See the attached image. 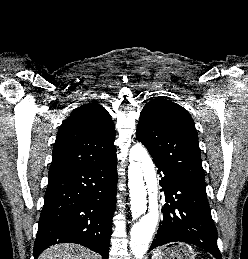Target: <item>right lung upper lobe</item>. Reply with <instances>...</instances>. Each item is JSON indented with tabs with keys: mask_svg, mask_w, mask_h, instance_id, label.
Wrapping results in <instances>:
<instances>
[{
	"mask_svg": "<svg viewBox=\"0 0 248 259\" xmlns=\"http://www.w3.org/2000/svg\"><path fill=\"white\" fill-rule=\"evenodd\" d=\"M114 140V123L101 105L74 109L58 131L49 174L104 162L116 154Z\"/></svg>",
	"mask_w": 248,
	"mask_h": 259,
	"instance_id": "obj_1",
	"label": "right lung upper lobe"
}]
</instances>
